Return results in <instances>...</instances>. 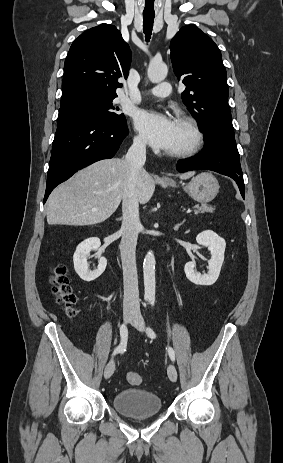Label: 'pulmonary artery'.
I'll list each match as a JSON object with an SVG mask.
<instances>
[{
  "label": "pulmonary artery",
  "mask_w": 283,
  "mask_h": 463,
  "mask_svg": "<svg viewBox=\"0 0 283 463\" xmlns=\"http://www.w3.org/2000/svg\"><path fill=\"white\" fill-rule=\"evenodd\" d=\"M171 86L169 83H161L158 86L148 88L143 91L144 95L154 96L158 98H167L170 96Z\"/></svg>",
  "instance_id": "obj_1"
}]
</instances>
